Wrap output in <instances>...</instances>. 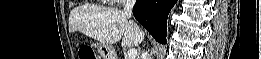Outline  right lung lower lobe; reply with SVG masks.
I'll list each match as a JSON object with an SVG mask.
<instances>
[{
    "label": "right lung lower lobe",
    "mask_w": 261,
    "mask_h": 59,
    "mask_svg": "<svg viewBox=\"0 0 261 59\" xmlns=\"http://www.w3.org/2000/svg\"><path fill=\"white\" fill-rule=\"evenodd\" d=\"M177 0H137L133 9L135 18L153 38L166 43V22L171 8Z\"/></svg>",
    "instance_id": "98d812e1"
}]
</instances>
